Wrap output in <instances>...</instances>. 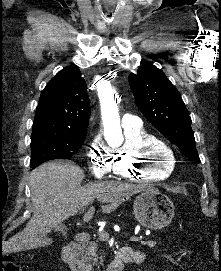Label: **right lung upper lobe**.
Wrapping results in <instances>:
<instances>
[{"instance_id": "cb5924a9", "label": "right lung upper lobe", "mask_w": 221, "mask_h": 271, "mask_svg": "<svg viewBox=\"0 0 221 271\" xmlns=\"http://www.w3.org/2000/svg\"><path fill=\"white\" fill-rule=\"evenodd\" d=\"M90 101L85 80L78 68H66L52 78L43 90L33 132L87 133Z\"/></svg>"}]
</instances>
